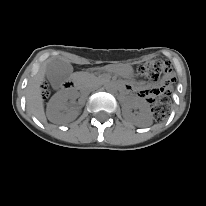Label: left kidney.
Returning a JSON list of instances; mask_svg holds the SVG:
<instances>
[{"label":"left kidney","mask_w":206,"mask_h":206,"mask_svg":"<svg viewBox=\"0 0 206 206\" xmlns=\"http://www.w3.org/2000/svg\"><path fill=\"white\" fill-rule=\"evenodd\" d=\"M131 108H137L139 113L134 115L131 112ZM123 115L126 119L133 121L139 127H149L152 125V116L149 104L142 98H127Z\"/></svg>","instance_id":"obj_1"}]
</instances>
